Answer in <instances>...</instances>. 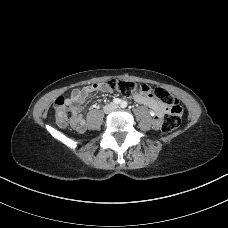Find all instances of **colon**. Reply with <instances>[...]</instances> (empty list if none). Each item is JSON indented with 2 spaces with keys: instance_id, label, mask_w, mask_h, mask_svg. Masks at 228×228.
<instances>
[{
  "instance_id": "colon-1",
  "label": "colon",
  "mask_w": 228,
  "mask_h": 228,
  "mask_svg": "<svg viewBox=\"0 0 228 228\" xmlns=\"http://www.w3.org/2000/svg\"><path fill=\"white\" fill-rule=\"evenodd\" d=\"M93 85L96 86V84ZM101 85L109 90H116L127 95L151 92V89L147 85L131 81L112 80ZM153 92L162 106H164L168 111V114L162 122L161 129L165 133L171 132L176 129L181 122L182 108L178 104L177 99L162 87L155 88ZM53 108L55 120L59 126L64 127L75 120L74 110L65 103L63 97H58L55 100Z\"/></svg>"
}]
</instances>
